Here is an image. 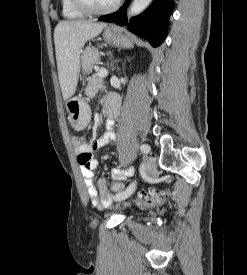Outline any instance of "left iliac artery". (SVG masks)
I'll use <instances>...</instances> for the list:
<instances>
[{"instance_id": "44dca946", "label": "left iliac artery", "mask_w": 247, "mask_h": 275, "mask_svg": "<svg viewBox=\"0 0 247 275\" xmlns=\"http://www.w3.org/2000/svg\"><path fill=\"white\" fill-rule=\"evenodd\" d=\"M140 149H141V151L144 152V153H149V151H150V146L147 145V144H143V145H141ZM135 187H136L135 182L131 183V184L128 186V188H127L128 192H129V193H130V192H133V191L135 190ZM126 195H127V193L123 191V192H121V193L116 194V195L114 196V199H115V201H120V200H123V199L126 197Z\"/></svg>"}]
</instances>
